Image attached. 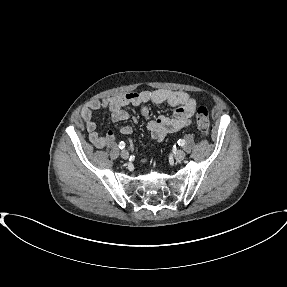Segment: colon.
<instances>
[{
  "mask_svg": "<svg viewBox=\"0 0 287 287\" xmlns=\"http://www.w3.org/2000/svg\"><path fill=\"white\" fill-rule=\"evenodd\" d=\"M196 124L200 134L206 137L210 128V116L207 108L200 106L196 111Z\"/></svg>",
  "mask_w": 287,
  "mask_h": 287,
  "instance_id": "5ec220e1",
  "label": "colon"
}]
</instances>
